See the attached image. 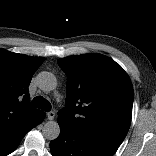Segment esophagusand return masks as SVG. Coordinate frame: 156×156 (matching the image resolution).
<instances>
[{
  "instance_id": "obj_1",
  "label": "esophagus",
  "mask_w": 156,
  "mask_h": 156,
  "mask_svg": "<svg viewBox=\"0 0 156 156\" xmlns=\"http://www.w3.org/2000/svg\"><path fill=\"white\" fill-rule=\"evenodd\" d=\"M54 117H55V112L54 111H50V112L47 113V118L49 120H53Z\"/></svg>"
}]
</instances>
